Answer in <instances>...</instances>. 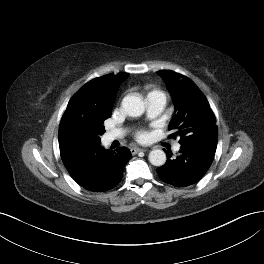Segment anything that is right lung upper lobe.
<instances>
[{
	"label": "right lung upper lobe",
	"mask_w": 264,
	"mask_h": 264,
	"mask_svg": "<svg viewBox=\"0 0 264 264\" xmlns=\"http://www.w3.org/2000/svg\"><path fill=\"white\" fill-rule=\"evenodd\" d=\"M128 73L110 74L85 84L69 101L59 126V143L69 141L70 130L112 112L120 84Z\"/></svg>",
	"instance_id": "right-lung-upper-lobe-1"
}]
</instances>
